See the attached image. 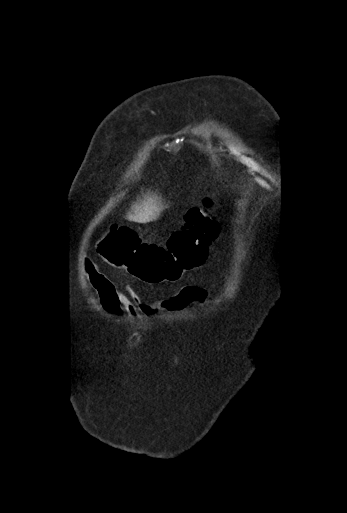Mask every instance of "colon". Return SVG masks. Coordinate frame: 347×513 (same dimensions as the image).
I'll list each match as a JSON object with an SVG mask.
<instances>
[{"mask_svg":"<svg viewBox=\"0 0 347 513\" xmlns=\"http://www.w3.org/2000/svg\"><path fill=\"white\" fill-rule=\"evenodd\" d=\"M215 207L214 200L206 199L203 206L191 208L166 246L142 242L132 229L113 226L99 242V252L110 265L144 283L160 285L180 280L203 265L209 246L219 234Z\"/></svg>","mask_w":347,"mask_h":513,"instance_id":"5ec220e1","label":"colon"}]
</instances>
